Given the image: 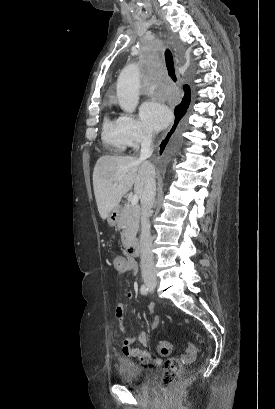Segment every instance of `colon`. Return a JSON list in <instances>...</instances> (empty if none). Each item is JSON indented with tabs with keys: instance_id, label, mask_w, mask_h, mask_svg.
I'll use <instances>...</instances> for the list:
<instances>
[{
	"instance_id": "1",
	"label": "colon",
	"mask_w": 275,
	"mask_h": 409,
	"mask_svg": "<svg viewBox=\"0 0 275 409\" xmlns=\"http://www.w3.org/2000/svg\"><path fill=\"white\" fill-rule=\"evenodd\" d=\"M113 264L118 274L125 273L124 258L122 256H114ZM160 357L168 358L171 352V343L169 340L160 341ZM198 350L192 343L186 345L184 353L180 357H172L165 362L164 373L160 380L161 388L174 386L180 379L184 365L192 364L197 357Z\"/></svg>"
}]
</instances>
